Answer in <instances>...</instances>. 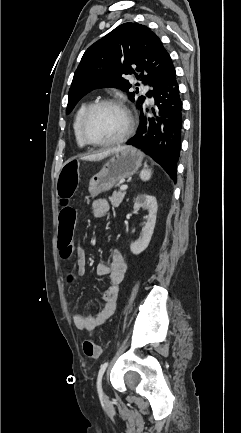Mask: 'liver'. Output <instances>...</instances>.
I'll return each mask as SVG.
<instances>
[{"label": "liver", "mask_w": 241, "mask_h": 433, "mask_svg": "<svg viewBox=\"0 0 241 433\" xmlns=\"http://www.w3.org/2000/svg\"><path fill=\"white\" fill-rule=\"evenodd\" d=\"M125 148L126 147H117L115 149H111V150L105 151L103 153L85 156L82 159L83 160H101V159H104L105 157H107L108 155H110L111 153H116V152H118L122 149H125Z\"/></svg>", "instance_id": "obj_1"}]
</instances>
